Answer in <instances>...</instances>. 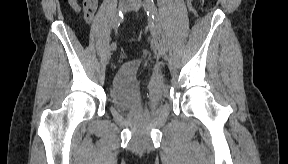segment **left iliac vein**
Here are the masks:
<instances>
[{"instance_id":"left-iliac-vein-1","label":"left iliac vein","mask_w":288,"mask_h":164,"mask_svg":"<svg viewBox=\"0 0 288 164\" xmlns=\"http://www.w3.org/2000/svg\"><path fill=\"white\" fill-rule=\"evenodd\" d=\"M135 10L138 9V6H135L134 8ZM151 34L154 38V40L158 43V50L160 55L162 56L163 59L166 58V51H167V47L166 44L164 43V41L162 39H160L158 32L155 28L151 27Z\"/></svg>"}]
</instances>
